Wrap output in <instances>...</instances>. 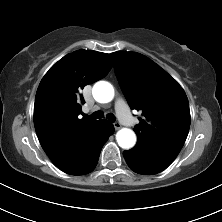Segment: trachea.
Segmentation results:
<instances>
[{
	"mask_svg": "<svg viewBox=\"0 0 222 222\" xmlns=\"http://www.w3.org/2000/svg\"><path fill=\"white\" fill-rule=\"evenodd\" d=\"M104 116V113L102 111H96L94 112L91 117L92 118H95V119H100ZM107 119L111 122H115L116 121V117L112 114V113H109L107 114Z\"/></svg>",
	"mask_w": 222,
	"mask_h": 222,
	"instance_id": "trachea-1",
	"label": "trachea"
}]
</instances>
